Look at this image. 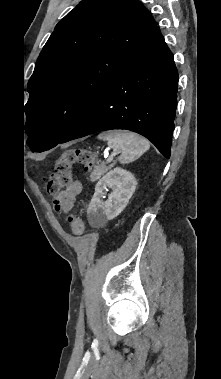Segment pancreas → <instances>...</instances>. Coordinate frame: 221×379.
<instances>
[{"label": "pancreas", "instance_id": "pancreas-1", "mask_svg": "<svg viewBox=\"0 0 221 379\" xmlns=\"http://www.w3.org/2000/svg\"><path fill=\"white\" fill-rule=\"evenodd\" d=\"M113 165H107L106 163H102L99 166H96L90 175V180L92 182L97 181L104 173H106L109 169H111Z\"/></svg>", "mask_w": 221, "mask_h": 379}]
</instances>
